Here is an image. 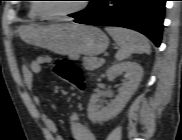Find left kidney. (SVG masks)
<instances>
[{
	"label": "left kidney",
	"instance_id": "1",
	"mask_svg": "<svg viewBox=\"0 0 182 140\" xmlns=\"http://www.w3.org/2000/svg\"><path fill=\"white\" fill-rule=\"evenodd\" d=\"M122 73H125L126 81L119 88L118 96L107 106L100 105L96 94L91 95L87 111L88 118L92 122L105 121L115 117L123 110L137 90L143 77L142 67L136 62L127 61L114 64L106 71L109 80L115 79Z\"/></svg>",
	"mask_w": 182,
	"mask_h": 140
}]
</instances>
